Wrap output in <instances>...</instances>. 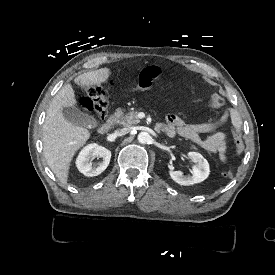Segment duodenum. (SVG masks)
Masks as SVG:
<instances>
[{"label":"duodenum","mask_w":275,"mask_h":275,"mask_svg":"<svg viewBox=\"0 0 275 275\" xmlns=\"http://www.w3.org/2000/svg\"><path fill=\"white\" fill-rule=\"evenodd\" d=\"M116 122V117L115 116H111L109 117L100 127H99V133L101 135H105L107 133H109L112 128L114 127ZM156 130L158 131H162L164 133H168V127L165 124H161L158 123L156 124Z\"/></svg>","instance_id":"duodenum-1"}]
</instances>
